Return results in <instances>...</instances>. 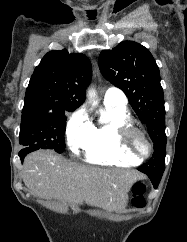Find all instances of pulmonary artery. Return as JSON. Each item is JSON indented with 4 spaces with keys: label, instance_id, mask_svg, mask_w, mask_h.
I'll return each mask as SVG.
<instances>
[{
    "label": "pulmonary artery",
    "instance_id": "obj_1",
    "mask_svg": "<svg viewBox=\"0 0 187 242\" xmlns=\"http://www.w3.org/2000/svg\"><path fill=\"white\" fill-rule=\"evenodd\" d=\"M104 104L109 105H126L127 98L125 94L118 88L110 87L104 95L103 98Z\"/></svg>",
    "mask_w": 187,
    "mask_h": 242
}]
</instances>
